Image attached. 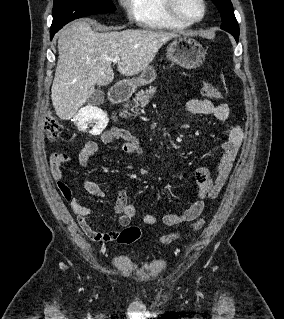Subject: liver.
Returning a JSON list of instances; mask_svg holds the SVG:
<instances>
[{
	"mask_svg": "<svg viewBox=\"0 0 284 319\" xmlns=\"http://www.w3.org/2000/svg\"><path fill=\"white\" fill-rule=\"evenodd\" d=\"M57 36L59 57L51 99L63 120L74 116L94 93L96 84L106 86L113 81L112 58L121 59L117 66L120 74L134 76L149 67L163 44L178 37L155 30L98 33L85 20L63 27Z\"/></svg>",
	"mask_w": 284,
	"mask_h": 319,
	"instance_id": "obj_1",
	"label": "liver"
}]
</instances>
